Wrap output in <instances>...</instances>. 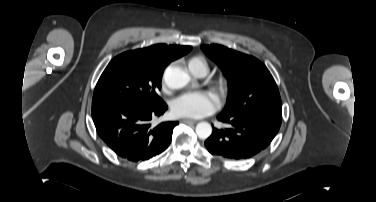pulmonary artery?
I'll return each instance as SVG.
<instances>
[{
    "label": "pulmonary artery",
    "mask_w": 376,
    "mask_h": 202,
    "mask_svg": "<svg viewBox=\"0 0 376 202\" xmlns=\"http://www.w3.org/2000/svg\"><path fill=\"white\" fill-rule=\"evenodd\" d=\"M205 74H206V73H201L199 76L202 77V76H204Z\"/></svg>",
    "instance_id": "obj_1"
}]
</instances>
